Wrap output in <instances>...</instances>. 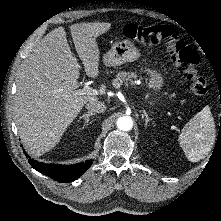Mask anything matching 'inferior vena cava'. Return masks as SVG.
Listing matches in <instances>:
<instances>
[{
	"mask_svg": "<svg viewBox=\"0 0 221 221\" xmlns=\"http://www.w3.org/2000/svg\"><path fill=\"white\" fill-rule=\"evenodd\" d=\"M86 108L91 112L103 113L106 105L98 100H91L86 104Z\"/></svg>",
	"mask_w": 221,
	"mask_h": 221,
	"instance_id": "602c4592",
	"label": "inferior vena cava"
}]
</instances>
